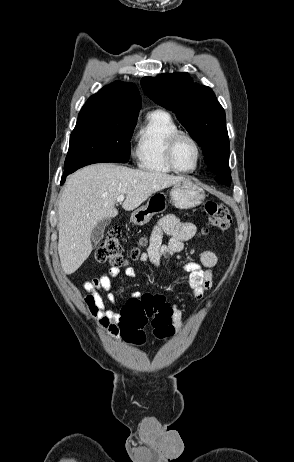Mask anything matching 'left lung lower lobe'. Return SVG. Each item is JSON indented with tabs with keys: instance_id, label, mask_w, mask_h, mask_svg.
<instances>
[{
	"instance_id": "left-lung-lower-lobe-1",
	"label": "left lung lower lobe",
	"mask_w": 294,
	"mask_h": 462,
	"mask_svg": "<svg viewBox=\"0 0 294 462\" xmlns=\"http://www.w3.org/2000/svg\"><path fill=\"white\" fill-rule=\"evenodd\" d=\"M216 180L220 183L230 185L231 183V176H216Z\"/></svg>"
}]
</instances>
